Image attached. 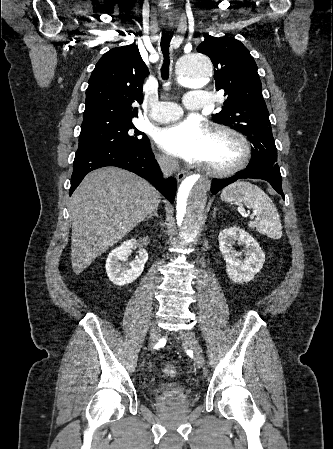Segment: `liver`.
<instances>
[{"label":"liver","instance_id":"obj_1","mask_svg":"<svg viewBox=\"0 0 333 449\" xmlns=\"http://www.w3.org/2000/svg\"><path fill=\"white\" fill-rule=\"evenodd\" d=\"M160 193L118 167L85 176L70 201L72 268L81 273L159 206Z\"/></svg>","mask_w":333,"mask_h":449}]
</instances>
